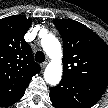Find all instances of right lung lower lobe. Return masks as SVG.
<instances>
[{
    "label": "right lung lower lobe",
    "mask_w": 108,
    "mask_h": 108,
    "mask_svg": "<svg viewBox=\"0 0 108 108\" xmlns=\"http://www.w3.org/2000/svg\"><path fill=\"white\" fill-rule=\"evenodd\" d=\"M23 96V95H22ZM22 97H20L19 99H17V100H15V101H12V102H10V103H8V104H6V105H2V106H10V105H12V104H14L15 102H17L18 100H20Z\"/></svg>",
    "instance_id": "right-lung-lower-lobe-1"
}]
</instances>
